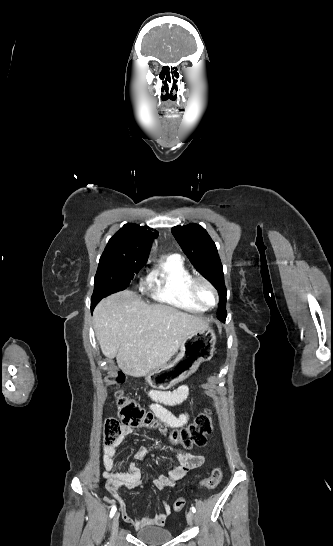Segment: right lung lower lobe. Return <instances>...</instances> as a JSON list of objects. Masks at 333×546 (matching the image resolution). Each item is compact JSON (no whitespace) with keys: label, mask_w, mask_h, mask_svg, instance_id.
<instances>
[{"label":"right lung lower lobe","mask_w":333,"mask_h":546,"mask_svg":"<svg viewBox=\"0 0 333 546\" xmlns=\"http://www.w3.org/2000/svg\"><path fill=\"white\" fill-rule=\"evenodd\" d=\"M95 303L94 302H91V309L93 310V308L95 307Z\"/></svg>","instance_id":"right-lung-lower-lobe-1"}]
</instances>
